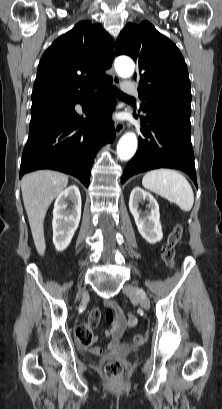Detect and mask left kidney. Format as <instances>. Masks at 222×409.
I'll list each match as a JSON object with an SVG mask.
<instances>
[{
    "instance_id": "left-kidney-1",
    "label": "left kidney",
    "mask_w": 222,
    "mask_h": 409,
    "mask_svg": "<svg viewBox=\"0 0 222 409\" xmlns=\"http://www.w3.org/2000/svg\"><path fill=\"white\" fill-rule=\"evenodd\" d=\"M142 200L149 201L150 212L141 214L139 203ZM129 209L141 236L151 244L161 241L163 233L160 224L159 205L155 198L142 188L135 187L130 194Z\"/></svg>"
}]
</instances>
